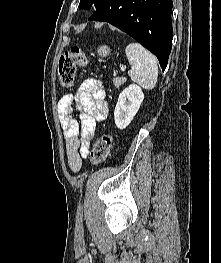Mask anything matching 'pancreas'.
<instances>
[{
  "label": "pancreas",
  "instance_id": "pancreas-1",
  "mask_svg": "<svg viewBox=\"0 0 221 263\" xmlns=\"http://www.w3.org/2000/svg\"><path fill=\"white\" fill-rule=\"evenodd\" d=\"M125 82H126V79L124 77H116L113 79V83L116 88H119Z\"/></svg>",
  "mask_w": 221,
  "mask_h": 263
}]
</instances>
